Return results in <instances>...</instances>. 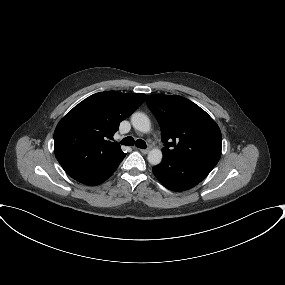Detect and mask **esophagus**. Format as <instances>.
I'll list each match as a JSON object with an SVG mask.
<instances>
[{"instance_id":"34e87169","label":"esophagus","mask_w":285,"mask_h":285,"mask_svg":"<svg viewBox=\"0 0 285 285\" xmlns=\"http://www.w3.org/2000/svg\"><path fill=\"white\" fill-rule=\"evenodd\" d=\"M140 152L143 154L149 153V149H140Z\"/></svg>"}]
</instances>
